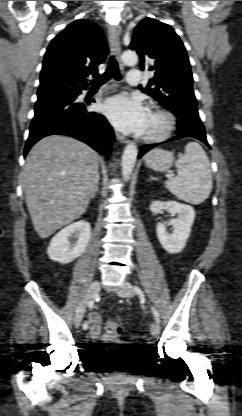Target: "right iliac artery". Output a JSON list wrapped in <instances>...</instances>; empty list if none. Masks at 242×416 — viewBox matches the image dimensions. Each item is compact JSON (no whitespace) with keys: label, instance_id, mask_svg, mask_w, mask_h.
<instances>
[{"label":"right iliac artery","instance_id":"right-iliac-artery-1","mask_svg":"<svg viewBox=\"0 0 242 416\" xmlns=\"http://www.w3.org/2000/svg\"><path fill=\"white\" fill-rule=\"evenodd\" d=\"M88 306H89V308H90V309H92V308H93V306H94L93 301H90ZM88 327H89V323H88V321H85V322L83 323V329H84V330H86Z\"/></svg>","mask_w":242,"mask_h":416}]
</instances>
